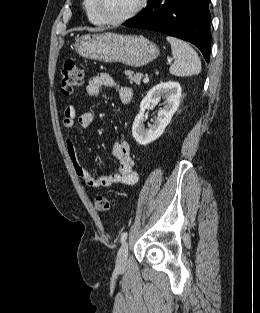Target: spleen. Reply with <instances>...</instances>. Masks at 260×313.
I'll use <instances>...</instances> for the list:
<instances>
[{
	"instance_id": "spleen-1",
	"label": "spleen",
	"mask_w": 260,
	"mask_h": 313,
	"mask_svg": "<svg viewBox=\"0 0 260 313\" xmlns=\"http://www.w3.org/2000/svg\"><path fill=\"white\" fill-rule=\"evenodd\" d=\"M171 45L172 55L175 58L169 71L172 75L184 77L199 74L201 61L196 51L185 41L167 36Z\"/></svg>"
}]
</instances>
